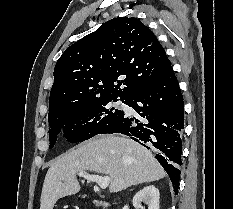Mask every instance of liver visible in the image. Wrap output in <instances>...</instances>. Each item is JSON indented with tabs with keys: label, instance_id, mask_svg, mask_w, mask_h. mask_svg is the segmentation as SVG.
I'll return each mask as SVG.
<instances>
[{
	"label": "liver",
	"instance_id": "1",
	"mask_svg": "<svg viewBox=\"0 0 233 209\" xmlns=\"http://www.w3.org/2000/svg\"><path fill=\"white\" fill-rule=\"evenodd\" d=\"M85 170L110 177L109 191L162 179L166 173L154 156L129 138L105 135L57 158L45 176L40 209H53L58 199L80 191L76 178Z\"/></svg>",
	"mask_w": 233,
	"mask_h": 209
}]
</instances>
